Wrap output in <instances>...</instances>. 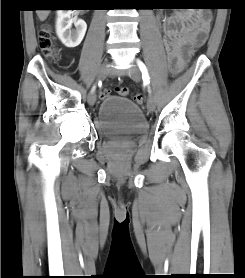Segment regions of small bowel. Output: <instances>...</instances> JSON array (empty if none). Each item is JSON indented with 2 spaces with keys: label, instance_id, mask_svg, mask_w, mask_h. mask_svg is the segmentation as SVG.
<instances>
[{
  "label": "small bowel",
  "instance_id": "c3829d8e",
  "mask_svg": "<svg viewBox=\"0 0 245 278\" xmlns=\"http://www.w3.org/2000/svg\"><path fill=\"white\" fill-rule=\"evenodd\" d=\"M203 24L201 12L177 13L163 21L161 29L170 68L183 69L193 50L205 43L209 27L205 29Z\"/></svg>",
  "mask_w": 245,
  "mask_h": 278
}]
</instances>
